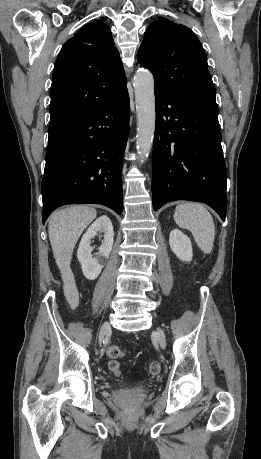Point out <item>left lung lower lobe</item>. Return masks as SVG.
<instances>
[{"instance_id":"obj_1","label":"left lung lower lobe","mask_w":261,"mask_h":459,"mask_svg":"<svg viewBox=\"0 0 261 459\" xmlns=\"http://www.w3.org/2000/svg\"><path fill=\"white\" fill-rule=\"evenodd\" d=\"M154 210L190 200L211 206L225 221L226 165L217 104L188 100L155 88Z\"/></svg>"}]
</instances>
